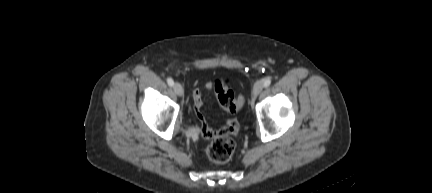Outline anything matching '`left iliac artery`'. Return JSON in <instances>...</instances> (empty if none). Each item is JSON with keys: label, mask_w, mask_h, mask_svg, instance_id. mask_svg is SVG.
<instances>
[{"label": "left iliac artery", "mask_w": 432, "mask_h": 193, "mask_svg": "<svg viewBox=\"0 0 432 193\" xmlns=\"http://www.w3.org/2000/svg\"><path fill=\"white\" fill-rule=\"evenodd\" d=\"M270 84H271V79H270V78H267V79L264 81V87H269Z\"/></svg>", "instance_id": "obj_1"}]
</instances>
